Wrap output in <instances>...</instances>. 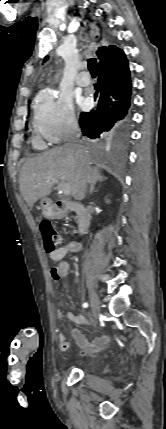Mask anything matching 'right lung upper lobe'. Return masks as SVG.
Returning a JSON list of instances; mask_svg holds the SVG:
<instances>
[{
	"instance_id": "1",
	"label": "right lung upper lobe",
	"mask_w": 166,
	"mask_h": 429,
	"mask_svg": "<svg viewBox=\"0 0 166 429\" xmlns=\"http://www.w3.org/2000/svg\"><path fill=\"white\" fill-rule=\"evenodd\" d=\"M120 51H121L120 48H118V47H116L114 45H109V46H103V47L99 48L98 51L96 52V54L98 56V60L100 61L102 59L115 56ZM46 60H48V57L45 59V61Z\"/></svg>"
}]
</instances>
